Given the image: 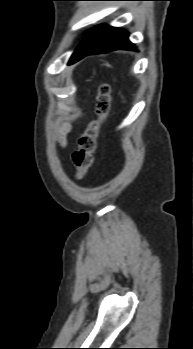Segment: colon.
I'll return each mask as SVG.
<instances>
[{
    "instance_id": "5ec220e1",
    "label": "colon",
    "mask_w": 193,
    "mask_h": 349,
    "mask_svg": "<svg viewBox=\"0 0 193 349\" xmlns=\"http://www.w3.org/2000/svg\"><path fill=\"white\" fill-rule=\"evenodd\" d=\"M111 88L108 84L100 85L95 99V119L92 120L81 136L78 148L72 159L76 168V178L83 179L93 163L101 123L110 111Z\"/></svg>"
}]
</instances>
